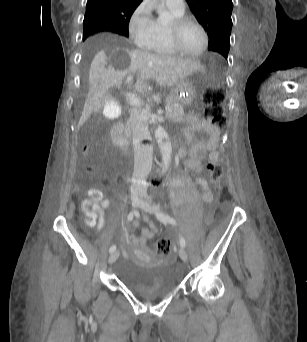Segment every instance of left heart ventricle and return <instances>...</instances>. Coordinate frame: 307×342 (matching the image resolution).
Instances as JSON below:
<instances>
[{
  "instance_id": "1",
  "label": "left heart ventricle",
  "mask_w": 307,
  "mask_h": 342,
  "mask_svg": "<svg viewBox=\"0 0 307 342\" xmlns=\"http://www.w3.org/2000/svg\"><path fill=\"white\" fill-rule=\"evenodd\" d=\"M180 43L186 52L198 53L204 45V34L201 27L194 22L188 23L181 31Z\"/></svg>"
}]
</instances>
